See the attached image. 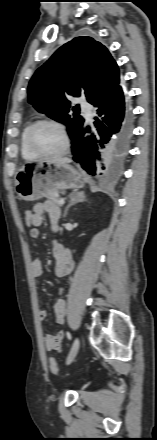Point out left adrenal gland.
Segmentation results:
<instances>
[{
  "label": "left adrenal gland",
  "mask_w": 157,
  "mask_h": 440,
  "mask_svg": "<svg viewBox=\"0 0 157 440\" xmlns=\"http://www.w3.org/2000/svg\"><path fill=\"white\" fill-rule=\"evenodd\" d=\"M86 200V197L83 192H77L70 194V202L64 210L63 217L65 218L69 208L77 203L83 202Z\"/></svg>",
  "instance_id": "left-adrenal-gland-1"
}]
</instances>
